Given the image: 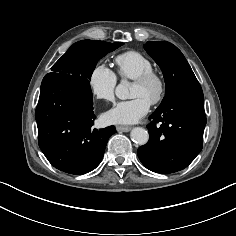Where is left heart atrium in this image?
<instances>
[{
	"mask_svg": "<svg viewBox=\"0 0 236 236\" xmlns=\"http://www.w3.org/2000/svg\"><path fill=\"white\" fill-rule=\"evenodd\" d=\"M150 108V102L141 96L118 102L104 114V120L109 124H131L145 116Z\"/></svg>",
	"mask_w": 236,
	"mask_h": 236,
	"instance_id": "left-heart-atrium-1",
	"label": "left heart atrium"
}]
</instances>
